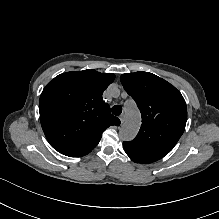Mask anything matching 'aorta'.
Segmentation results:
<instances>
[{
  "mask_svg": "<svg viewBox=\"0 0 219 219\" xmlns=\"http://www.w3.org/2000/svg\"><path fill=\"white\" fill-rule=\"evenodd\" d=\"M141 125V116L136 106H126V121L119 130L122 140L130 141L135 138Z\"/></svg>",
  "mask_w": 219,
  "mask_h": 219,
  "instance_id": "762f6f07",
  "label": "aorta"
}]
</instances>
